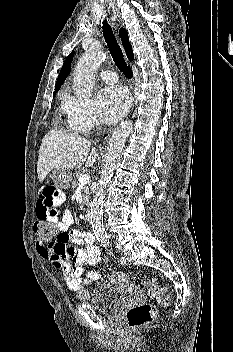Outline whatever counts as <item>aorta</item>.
<instances>
[{
    "instance_id": "obj_1",
    "label": "aorta",
    "mask_w": 233,
    "mask_h": 352,
    "mask_svg": "<svg viewBox=\"0 0 233 352\" xmlns=\"http://www.w3.org/2000/svg\"><path fill=\"white\" fill-rule=\"evenodd\" d=\"M105 58L101 49H89L79 59L74 72V94L77 98L87 99L91 97L95 72ZM133 130L132 121L122 122L113 132L107 146L105 164L101 172V177L96 188L95 197L91 203V224L94 234L101 242L107 241V233L103 225V204L105 199L106 188L113 176L117 162L125 142Z\"/></svg>"
}]
</instances>
